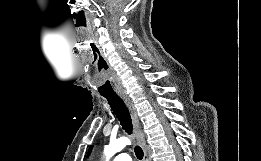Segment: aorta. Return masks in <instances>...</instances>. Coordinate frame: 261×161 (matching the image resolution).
<instances>
[{"instance_id":"obj_1","label":"aorta","mask_w":261,"mask_h":161,"mask_svg":"<svg viewBox=\"0 0 261 161\" xmlns=\"http://www.w3.org/2000/svg\"><path fill=\"white\" fill-rule=\"evenodd\" d=\"M130 144V140L127 137H121L116 140L110 141L109 145L104 148V154L106 156V161L114 156L117 152H120L126 145Z\"/></svg>"}]
</instances>
